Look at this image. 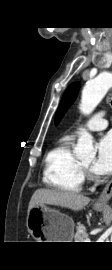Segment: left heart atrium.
Here are the masks:
<instances>
[{"mask_svg":"<svg viewBox=\"0 0 112 270\" xmlns=\"http://www.w3.org/2000/svg\"><path fill=\"white\" fill-rule=\"evenodd\" d=\"M92 170L98 175L112 172V132L105 134L97 144V158Z\"/></svg>","mask_w":112,"mask_h":270,"instance_id":"39dd6f15","label":"left heart atrium"}]
</instances>
